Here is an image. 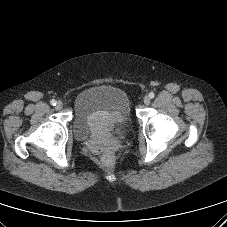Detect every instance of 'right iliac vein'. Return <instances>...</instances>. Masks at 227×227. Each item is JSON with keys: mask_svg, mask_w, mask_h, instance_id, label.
Returning <instances> with one entry per match:
<instances>
[{"mask_svg": "<svg viewBox=\"0 0 227 227\" xmlns=\"http://www.w3.org/2000/svg\"><path fill=\"white\" fill-rule=\"evenodd\" d=\"M55 108H56L57 110H61V109L63 108V103H62L61 101H58V102L56 103Z\"/></svg>", "mask_w": 227, "mask_h": 227, "instance_id": "1", "label": "right iliac vein"}]
</instances>
